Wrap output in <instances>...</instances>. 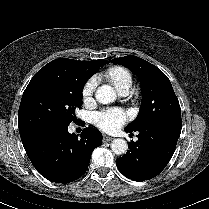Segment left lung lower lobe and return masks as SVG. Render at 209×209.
I'll return each mask as SVG.
<instances>
[{"label": "left lung lower lobe", "mask_w": 209, "mask_h": 209, "mask_svg": "<svg viewBox=\"0 0 209 209\" xmlns=\"http://www.w3.org/2000/svg\"><path fill=\"white\" fill-rule=\"evenodd\" d=\"M138 132V141L129 144V151L116 159V165L127 178L145 181L160 174L170 161L181 126L148 127Z\"/></svg>", "instance_id": "1"}]
</instances>
